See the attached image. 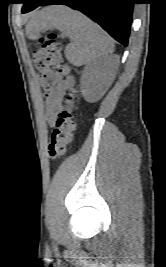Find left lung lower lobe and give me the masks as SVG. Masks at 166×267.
Listing matches in <instances>:
<instances>
[{"instance_id":"0a47b994","label":"left lung lower lobe","mask_w":166,"mask_h":267,"mask_svg":"<svg viewBox=\"0 0 166 267\" xmlns=\"http://www.w3.org/2000/svg\"><path fill=\"white\" fill-rule=\"evenodd\" d=\"M135 0H24L22 13L42 4H66L96 21L118 42L127 46Z\"/></svg>"}]
</instances>
